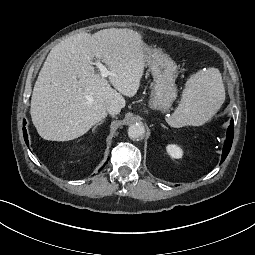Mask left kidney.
<instances>
[{
    "mask_svg": "<svg viewBox=\"0 0 255 255\" xmlns=\"http://www.w3.org/2000/svg\"><path fill=\"white\" fill-rule=\"evenodd\" d=\"M166 150H167V153L172 157V158H176V159H179V158H182V155H183V151L182 149L175 145V144H169L167 147H166Z\"/></svg>",
    "mask_w": 255,
    "mask_h": 255,
    "instance_id": "1",
    "label": "left kidney"
}]
</instances>
